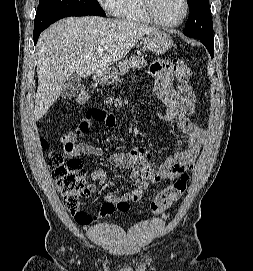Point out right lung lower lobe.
<instances>
[{
  "instance_id": "obj_1",
  "label": "right lung lower lobe",
  "mask_w": 253,
  "mask_h": 271,
  "mask_svg": "<svg viewBox=\"0 0 253 271\" xmlns=\"http://www.w3.org/2000/svg\"><path fill=\"white\" fill-rule=\"evenodd\" d=\"M42 31L43 30H39V31L34 32V34H33L34 44L37 43L38 37L40 36V34H41Z\"/></svg>"
}]
</instances>
